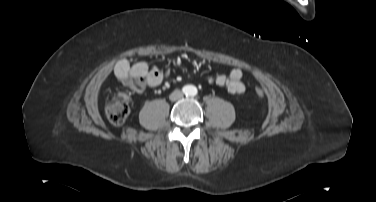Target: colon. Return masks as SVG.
<instances>
[{
    "label": "colon",
    "instance_id": "obj_1",
    "mask_svg": "<svg viewBox=\"0 0 376 202\" xmlns=\"http://www.w3.org/2000/svg\"><path fill=\"white\" fill-rule=\"evenodd\" d=\"M259 97L264 95L262 88L256 89ZM130 97L126 93H118L113 96L105 105V114L109 122L114 126L122 125L129 114Z\"/></svg>",
    "mask_w": 376,
    "mask_h": 202
}]
</instances>
